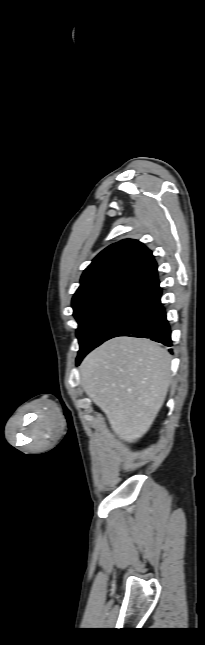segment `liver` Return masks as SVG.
I'll return each instance as SVG.
<instances>
[{
	"label": "liver",
	"mask_w": 205,
	"mask_h": 645,
	"mask_svg": "<svg viewBox=\"0 0 205 645\" xmlns=\"http://www.w3.org/2000/svg\"><path fill=\"white\" fill-rule=\"evenodd\" d=\"M170 363L159 344L132 337L108 340L83 359V389L120 440L134 443L150 429L166 399Z\"/></svg>",
	"instance_id": "1"
}]
</instances>
